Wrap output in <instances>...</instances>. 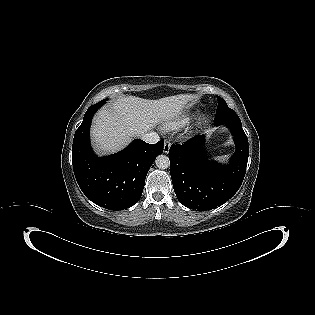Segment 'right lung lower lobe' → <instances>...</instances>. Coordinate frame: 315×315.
I'll return each mask as SVG.
<instances>
[{
    "instance_id": "obj_1",
    "label": "right lung lower lobe",
    "mask_w": 315,
    "mask_h": 315,
    "mask_svg": "<svg viewBox=\"0 0 315 315\" xmlns=\"http://www.w3.org/2000/svg\"><path fill=\"white\" fill-rule=\"evenodd\" d=\"M104 103L105 100L90 106L75 132L73 169L77 183L88 199L109 210H122L140 199L146 175L156 156L162 153L164 141L152 145L135 139L117 154L96 157L90 146L89 130L94 113Z\"/></svg>"
}]
</instances>
